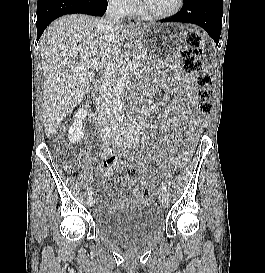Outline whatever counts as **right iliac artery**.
Segmentation results:
<instances>
[{
	"instance_id": "1",
	"label": "right iliac artery",
	"mask_w": 265,
	"mask_h": 273,
	"mask_svg": "<svg viewBox=\"0 0 265 273\" xmlns=\"http://www.w3.org/2000/svg\"><path fill=\"white\" fill-rule=\"evenodd\" d=\"M112 154V149L110 148H105L102 153H101V158H107L108 156H110ZM87 193L89 196L92 195L93 191H92V188L89 187L87 188Z\"/></svg>"
}]
</instances>
